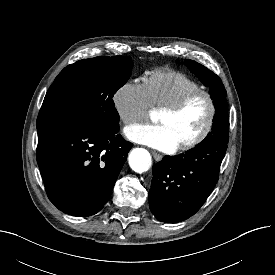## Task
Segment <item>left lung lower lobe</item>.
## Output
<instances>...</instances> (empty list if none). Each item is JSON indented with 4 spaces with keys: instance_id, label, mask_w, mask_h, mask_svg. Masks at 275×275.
<instances>
[{
    "instance_id": "1",
    "label": "left lung lower lobe",
    "mask_w": 275,
    "mask_h": 275,
    "mask_svg": "<svg viewBox=\"0 0 275 275\" xmlns=\"http://www.w3.org/2000/svg\"><path fill=\"white\" fill-rule=\"evenodd\" d=\"M227 144L210 141L177 156H165L153 166L150 210L157 220L176 223L194 215L219 178Z\"/></svg>"
}]
</instances>
